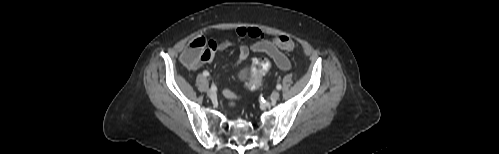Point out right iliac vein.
<instances>
[{"mask_svg":"<svg viewBox=\"0 0 499 154\" xmlns=\"http://www.w3.org/2000/svg\"><path fill=\"white\" fill-rule=\"evenodd\" d=\"M207 95L210 99H215L216 98V93L213 90H208Z\"/></svg>","mask_w":499,"mask_h":154,"instance_id":"obj_1","label":"right iliac vein"}]
</instances>
